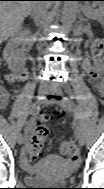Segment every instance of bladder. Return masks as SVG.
<instances>
[{
  "label": "bladder",
  "mask_w": 104,
  "mask_h": 189,
  "mask_svg": "<svg viewBox=\"0 0 104 189\" xmlns=\"http://www.w3.org/2000/svg\"><path fill=\"white\" fill-rule=\"evenodd\" d=\"M78 169V164L57 155L42 158L37 166L26 171L25 180L32 185H61Z\"/></svg>",
  "instance_id": "obj_1"
}]
</instances>
